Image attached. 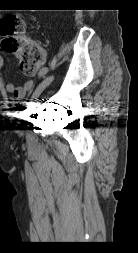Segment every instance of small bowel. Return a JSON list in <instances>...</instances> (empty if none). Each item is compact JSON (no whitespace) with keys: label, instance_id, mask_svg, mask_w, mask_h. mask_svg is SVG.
<instances>
[{"label":"small bowel","instance_id":"obj_1","mask_svg":"<svg viewBox=\"0 0 138 253\" xmlns=\"http://www.w3.org/2000/svg\"><path fill=\"white\" fill-rule=\"evenodd\" d=\"M4 64V59L0 55V69ZM47 72L46 69H41L39 75H44ZM35 86V81L33 79L27 80L23 85L16 86L12 81L6 83V90L11 93L14 98L21 100L23 99L28 92H30Z\"/></svg>","mask_w":138,"mask_h":253}]
</instances>
